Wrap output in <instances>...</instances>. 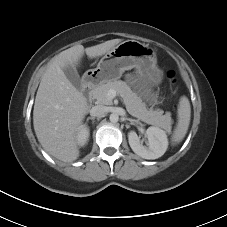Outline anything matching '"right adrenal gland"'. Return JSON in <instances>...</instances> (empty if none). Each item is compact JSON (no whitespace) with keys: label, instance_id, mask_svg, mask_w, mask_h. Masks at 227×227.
Instances as JSON below:
<instances>
[{"label":"right adrenal gland","instance_id":"right-adrenal-gland-1","mask_svg":"<svg viewBox=\"0 0 227 227\" xmlns=\"http://www.w3.org/2000/svg\"><path fill=\"white\" fill-rule=\"evenodd\" d=\"M93 119H94L93 117H88V118H87V121H88V120H93Z\"/></svg>","mask_w":227,"mask_h":227}]
</instances>
